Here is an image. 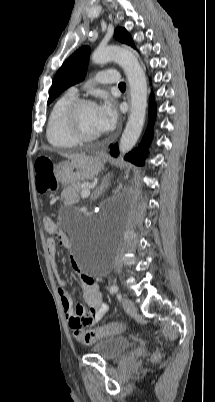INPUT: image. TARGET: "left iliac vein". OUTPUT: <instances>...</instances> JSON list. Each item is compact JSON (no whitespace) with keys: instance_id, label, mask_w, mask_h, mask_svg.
Here are the masks:
<instances>
[{"instance_id":"left-iliac-vein-1","label":"left iliac vein","mask_w":215,"mask_h":402,"mask_svg":"<svg viewBox=\"0 0 215 402\" xmlns=\"http://www.w3.org/2000/svg\"><path fill=\"white\" fill-rule=\"evenodd\" d=\"M122 304H123V307H124V309H125L126 312H128V313H134V312H136V307H135V305H134V302H133L131 299H129V298H124V299L122 300Z\"/></svg>"}]
</instances>
